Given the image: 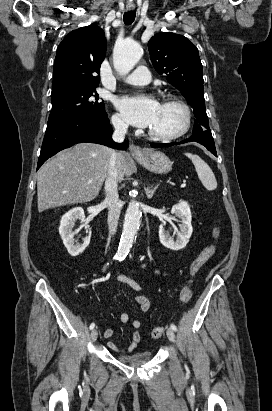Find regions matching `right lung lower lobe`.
Instances as JSON below:
<instances>
[{"mask_svg": "<svg viewBox=\"0 0 272 411\" xmlns=\"http://www.w3.org/2000/svg\"><path fill=\"white\" fill-rule=\"evenodd\" d=\"M107 113L102 115H76L47 125L37 170L51 156L76 143H99L125 150L128 143H115Z\"/></svg>", "mask_w": 272, "mask_h": 411, "instance_id": "98d812e1", "label": "right lung lower lobe"}]
</instances>
